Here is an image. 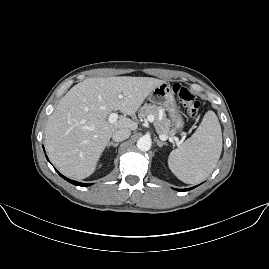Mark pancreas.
Wrapping results in <instances>:
<instances>
[{
  "mask_svg": "<svg viewBox=\"0 0 269 269\" xmlns=\"http://www.w3.org/2000/svg\"><path fill=\"white\" fill-rule=\"evenodd\" d=\"M148 115H153L155 122L154 127L158 134L171 135L173 131L170 130L171 124L170 121L166 118L165 113H163L162 120L158 121L159 117V106L152 104H145L139 112V117H147Z\"/></svg>",
  "mask_w": 269,
  "mask_h": 269,
  "instance_id": "obj_1",
  "label": "pancreas"
}]
</instances>
